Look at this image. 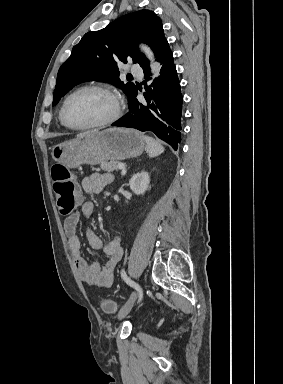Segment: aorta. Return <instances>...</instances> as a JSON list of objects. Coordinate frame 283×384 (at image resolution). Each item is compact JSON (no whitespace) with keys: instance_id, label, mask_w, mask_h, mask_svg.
I'll use <instances>...</instances> for the list:
<instances>
[{"instance_id":"1","label":"aorta","mask_w":283,"mask_h":384,"mask_svg":"<svg viewBox=\"0 0 283 384\" xmlns=\"http://www.w3.org/2000/svg\"><path fill=\"white\" fill-rule=\"evenodd\" d=\"M140 48L144 52L146 57L150 60V67H151V71L153 73V76L154 77L158 76L159 71H160V64L158 62H156L152 50L146 45H140Z\"/></svg>"}]
</instances>
